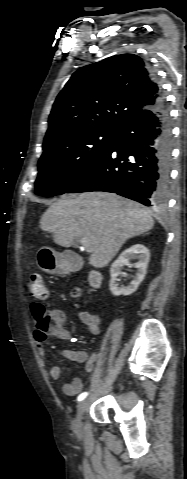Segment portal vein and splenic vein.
<instances>
[{
    "mask_svg": "<svg viewBox=\"0 0 187 479\" xmlns=\"http://www.w3.org/2000/svg\"><path fill=\"white\" fill-rule=\"evenodd\" d=\"M81 245L86 249L87 252H91L90 242L86 239L81 240Z\"/></svg>",
    "mask_w": 187,
    "mask_h": 479,
    "instance_id": "obj_1",
    "label": "portal vein and splenic vein"
}]
</instances>
